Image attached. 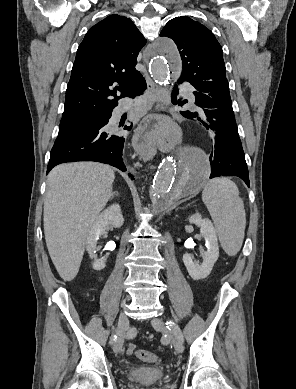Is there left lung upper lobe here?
<instances>
[{"instance_id":"obj_1","label":"left lung upper lobe","mask_w":296,"mask_h":389,"mask_svg":"<svg viewBox=\"0 0 296 389\" xmlns=\"http://www.w3.org/2000/svg\"><path fill=\"white\" fill-rule=\"evenodd\" d=\"M160 36L174 40L182 59L178 81L219 82L226 79L222 47L204 25L187 16L170 20Z\"/></svg>"}]
</instances>
